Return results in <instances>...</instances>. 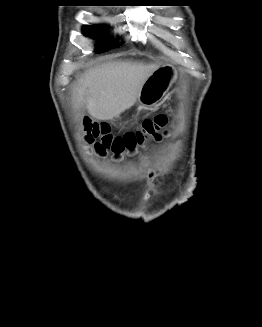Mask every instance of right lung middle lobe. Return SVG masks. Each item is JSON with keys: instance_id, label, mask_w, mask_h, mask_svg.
I'll return each instance as SVG.
<instances>
[{"instance_id": "right-lung-middle-lobe-1", "label": "right lung middle lobe", "mask_w": 262, "mask_h": 327, "mask_svg": "<svg viewBox=\"0 0 262 327\" xmlns=\"http://www.w3.org/2000/svg\"><path fill=\"white\" fill-rule=\"evenodd\" d=\"M84 33H85V35H89L92 38H103L105 36V29L103 27H99L97 25H89L84 28ZM104 39H105V37H104ZM105 40H107V39H105ZM109 42H110V40H108V42H104L105 45H104V43H102L97 51L104 52V51H108L111 48L118 47V45L116 43H115V45H112V44H108Z\"/></svg>"}]
</instances>
